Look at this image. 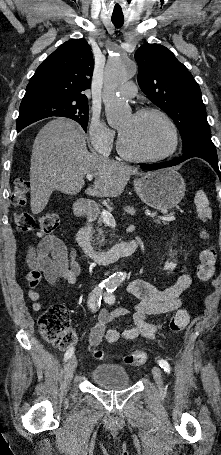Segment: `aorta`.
<instances>
[{"label":"aorta","instance_id":"1","mask_svg":"<svg viewBox=\"0 0 221 455\" xmlns=\"http://www.w3.org/2000/svg\"><path fill=\"white\" fill-rule=\"evenodd\" d=\"M137 71L136 64L127 59L114 58L108 61L104 74L103 102L107 122L114 127L121 123L131 113L129 105L115 96L117 87L131 79ZM123 273L117 272L110 277L111 283L122 279Z\"/></svg>","mask_w":221,"mask_h":455}]
</instances>
